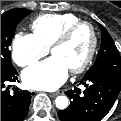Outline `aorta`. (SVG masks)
Wrapping results in <instances>:
<instances>
[{"label":"aorta","instance_id":"762f6f07","mask_svg":"<svg viewBox=\"0 0 121 121\" xmlns=\"http://www.w3.org/2000/svg\"><path fill=\"white\" fill-rule=\"evenodd\" d=\"M56 107L60 110H64L68 107L69 100L66 96H58L55 100Z\"/></svg>","mask_w":121,"mask_h":121}]
</instances>
